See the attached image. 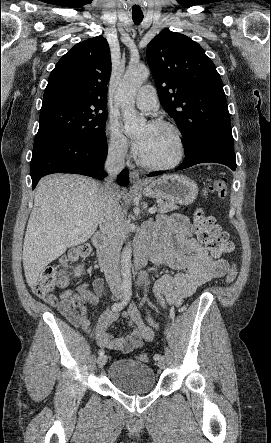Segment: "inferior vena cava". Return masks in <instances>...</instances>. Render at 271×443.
I'll return each mask as SVG.
<instances>
[{
  "label": "inferior vena cava",
  "mask_w": 271,
  "mask_h": 443,
  "mask_svg": "<svg viewBox=\"0 0 271 443\" xmlns=\"http://www.w3.org/2000/svg\"><path fill=\"white\" fill-rule=\"evenodd\" d=\"M126 154L125 142L110 144L105 164L108 178L99 186L103 202V214L99 218V225L101 231H106L108 235L107 245L103 249L99 263L113 291L112 296H125L121 284L120 251L128 229L119 206L120 194L114 180L125 166Z\"/></svg>",
  "instance_id": "obj_1"
}]
</instances>
